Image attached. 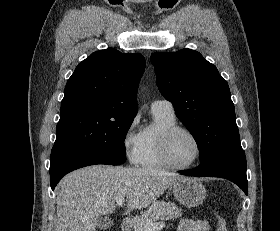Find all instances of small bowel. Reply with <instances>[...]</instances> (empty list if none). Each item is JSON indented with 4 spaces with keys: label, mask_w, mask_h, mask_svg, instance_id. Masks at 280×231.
I'll return each instance as SVG.
<instances>
[{
    "label": "small bowel",
    "mask_w": 280,
    "mask_h": 231,
    "mask_svg": "<svg viewBox=\"0 0 280 231\" xmlns=\"http://www.w3.org/2000/svg\"><path fill=\"white\" fill-rule=\"evenodd\" d=\"M208 223L205 220L181 219L177 224V231H208Z\"/></svg>",
    "instance_id": "c3829d8e"
}]
</instances>
